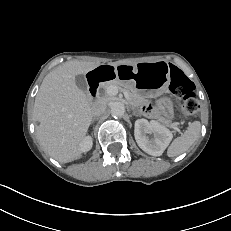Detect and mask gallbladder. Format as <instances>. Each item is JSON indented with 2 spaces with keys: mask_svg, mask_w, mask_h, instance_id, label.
I'll return each mask as SVG.
<instances>
[{
  "mask_svg": "<svg viewBox=\"0 0 231 231\" xmlns=\"http://www.w3.org/2000/svg\"><path fill=\"white\" fill-rule=\"evenodd\" d=\"M75 82H76V85L79 89H81L82 91L86 92L87 89H88V86H87V82H86V79L83 75H77L75 77Z\"/></svg>",
  "mask_w": 231,
  "mask_h": 231,
  "instance_id": "obj_1",
  "label": "gallbladder"
}]
</instances>
